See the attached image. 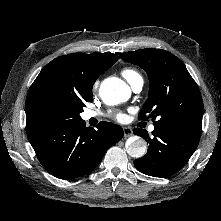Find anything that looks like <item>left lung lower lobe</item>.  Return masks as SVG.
<instances>
[{
	"mask_svg": "<svg viewBox=\"0 0 221 221\" xmlns=\"http://www.w3.org/2000/svg\"><path fill=\"white\" fill-rule=\"evenodd\" d=\"M133 133L143 137L149 144L146 155L134 160V166L141 173L154 177H168L181 170L200 140L195 136L161 127H155L153 137L139 128H135Z\"/></svg>",
	"mask_w": 221,
	"mask_h": 221,
	"instance_id": "1",
	"label": "left lung lower lobe"
}]
</instances>
